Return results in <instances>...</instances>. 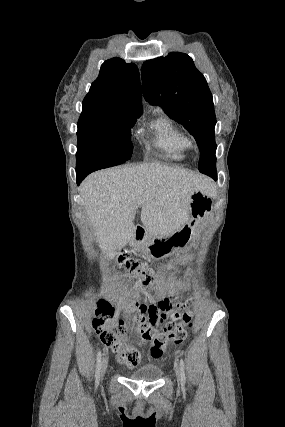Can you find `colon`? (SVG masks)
Listing matches in <instances>:
<instances>
[{"instance_id": "obj_1", "label": "colon", "mask_w": 285, "mask_h": 427, "mask_svg": "<svg viewBox=\"0 0 285 427\" xmlns=\"http://www.w3.org/2000/svg\"><path fill=\"white\" fill-rule=\"evenodd\" d=\"M117 260L120 267L135 276L143 286H150L155 282L156 272L152 268L143 265L140 261L130 258L128 254L120 253ZM188 305L189 302L186 300L178 301L173 305L175 307L171 314L173 322L166 325L159 335L155 334L154 327L143 323L141 320L138 321L137 330L140 334V339L144 342L153 339L157 341L156 345L150 349L153 358H161L167 343H181L186 338V327L192 326V318L186 311ZM113 313L114 311L109 301L106 299L101 300L95 310L92 328L107 345L111 346L119 354L121 363L134 367L140 359L139 351L127 342L122 331V321H114ZM177 321L178 323H176Z\"/></svg>"}]
</instances>
